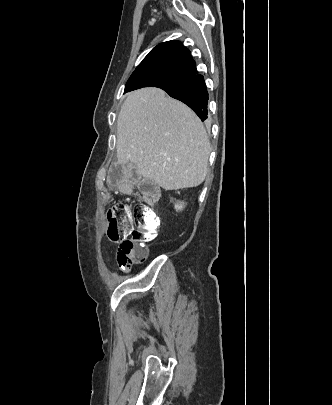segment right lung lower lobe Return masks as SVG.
I'll use <instances>...</instances> for the list:
<instances>
[{
    "instance_id": "obj_1",
    "label": "right lung lower lobe",
    "mask_w": 332,
    "mask_h": 405,
    "mask_svg": "<svg viewBox=\"0 0 332 405\" xmlns=\"http://www.w3.org/2000/svg\"><path fill=\"white\" fill-rule=\"evenodd\" d=\"M162 89L188 105L202 121L207 118L208 92L202 75L195 74Z\"/></svg>"
}]
</instances>
